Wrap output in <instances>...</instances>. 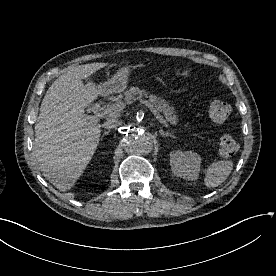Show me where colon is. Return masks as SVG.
<instances>
[{
  "label": "colon",
  "mask_w": 276,
  "mask_h": 276,
  "mask_svg": "<svg viewBox=\"0 0 276 276\" xmlns=\"http://www.w3.org/2000/svg\"><path fill=\"white\" fill-rule=\"evenodd\" d=\"M178 74L184 77L191 76L189 70L178 71ZM231 112L229 104L223 100H214L209 106V118L215 124H221L226 121ZM239 148L236 139L229 135H223L219 140L218 150L221 156L231 157Z\"/></svg>",
  "instance_id": "obj_1"
}]
</instances>
